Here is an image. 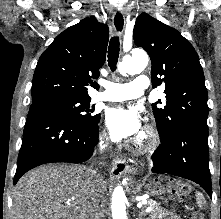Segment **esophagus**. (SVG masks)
<instances>
[{"label":"esophagus","instance_id":"obj_1","mask_svg":"<svg viewBox=\"0 0 221 219\" xmlns=\"http://www.w3.org/2000/svg\"><path fill=\"white\" fill-rule=\"evenodd\" d=\"M125 13L121 9H116L113 17H112V24L114 34L117 36H122L125 30Z\"/></svg>","mask_w":221,"mask_h":219}]
</instances>
